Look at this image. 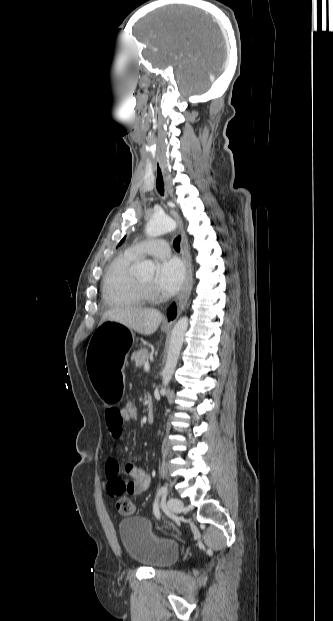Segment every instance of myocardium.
Here are the masks:
<instances>
[{"mask_svg": "<svg viewBox=\"0 0 333 621\" xmlns=\"http://www.w3.org/2000/svg\"><path fill=\"white\" fill-rule=\"evenodd\" d=\"M139 285H140V288L142 289V291L144 292V294L149 299H156V298H158L159 295H158L157 291L152 286L143 284L140 281H139Z\"/></svg>", "mask_w": 333, "mask_h": 621, "instance_id": "1", "label": "myocardium"}]
</instances>
